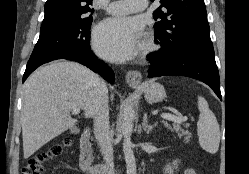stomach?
<instances>
[{
    "instance_id": "stomach-1",
    "label": "stomach",
    "mask_w": 249,
    "mask_h": 174,
    "mask_svg": "<svg viewBox=\"0 0 249 174\" xmlns=\"http://www.w3.org/2000/svg\"><path fill=\"white\" fill-rule=\"evenodd\" d=\"M143 93L147 101L152 103L161 102L166 97L164 87L154 81H147L138 87Z\"/></svg>"
}]
</instances>
